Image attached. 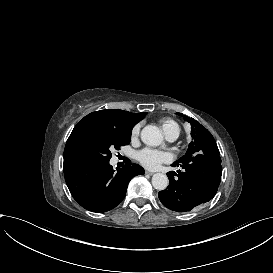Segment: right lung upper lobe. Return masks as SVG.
Returning <instances> with one entry per match:
<instances>
[{
  "instance_id": "cb5924a9",
  "label": "right lung upper lobe",
  "mask_w": 273,
  "mask_h": 273,
  "mask_svg": "<svg viewBox=\"0 0 273 273\" xmlns=\"http://www.w3.org/2000/svg\"><path fill=\"white\" fill-rule=\"evenodd\" d=\"M146 112L131 113L123 110H100L85 116L76 126L82 124H94L101 127L112 128L118 131L131 132L134 125L142 120ZM74 130V129H73ZM76 168L70 167L64 161V175L69 174Z\"/></svg>"
}]
</instances>
